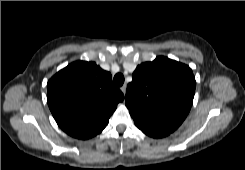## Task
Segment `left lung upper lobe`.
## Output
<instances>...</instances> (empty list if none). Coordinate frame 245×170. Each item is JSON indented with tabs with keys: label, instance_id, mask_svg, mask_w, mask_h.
<instances>
[{
	"label": "left lung upper lobe",
	"instance_id": "left-lung-upper-lobe-1",
	"mask_svg": "<svg viewBox=\"0 0 245 170\" xmlns=\"http://www.w3.org/2000/svg\"><path fill=\"white\" fill-rule=\"evenodd\" d=\"M132 77L125 101L136 126L175 131L193 103L196 82L191 68L159 56L137 66Z\"/></svg>",
	"mask_w": 245,
	"mask_h": 170
}]
</instances>
